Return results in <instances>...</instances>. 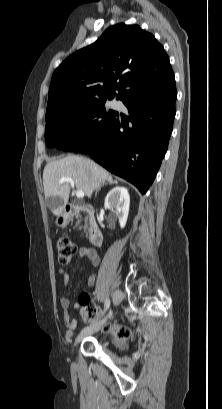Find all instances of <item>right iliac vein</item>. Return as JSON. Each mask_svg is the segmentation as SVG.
<instances>
[{
  "instance_id": "63e3f726",
  "label": "right iliac vein",
  "mask_w": 222,
  "mask_h": 409,
  "mask_svg": "<svg viewBox=\"0 0 222 409\" xmlns=\"http://www.w3.org/2000/svg\"><path fill=\"white\" fill-rule=\"evenodd\" d=\"M121 300H122V292L119 291V290L115 291V293L113 295V304H114V306L119 305ZM112 317H113V314L109 313L108 316L104 320L84 328L81 331V333L78 335V337L76 339V342H80L85 336L98 331L100 328H102L104 326L107 319H110Z\"/></svg>"
}]
</instances>
